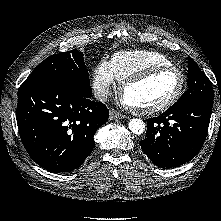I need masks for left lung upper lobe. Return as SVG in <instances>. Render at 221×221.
Listing matches in <instances>:
<instances>
[{
    "mask_svg": "<svg viewBox=\"0 0 221 221\" xmlns=\"http://www.w3.org/2000/svg\"><path fill=\"white\" fill-rule=\"evenodd\" d=\"M187 85L188 90L172 106H178L194 99L213 101L214 93L212 83L191 57H188Z\"/></svg>",
    "mask_w": 221,
    "mask_h": 221,
    "instance_id": "5c2ea615",
    "label": "left lung upper lobe"
}]
</instances>
